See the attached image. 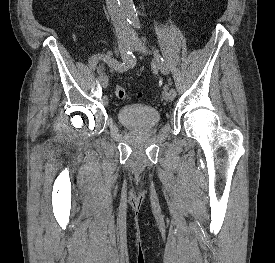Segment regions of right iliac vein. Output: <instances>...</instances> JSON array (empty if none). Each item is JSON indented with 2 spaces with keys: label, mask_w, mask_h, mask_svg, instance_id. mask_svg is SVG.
<instances>
[{
  "label": "right iliac vein",
  "mask_w": 275,
  "mask_h": 263,
  "mask_svg": "<svg viewBox=\"0 0 275 263\" xmlns=\"http://www.w3.org/2000/svg\"><path fill=\"white\" fill-rule=\"evenodd\" d=\"M131 44V40L127 39V38H119L118 40V48L120 51V54L122 57H125L126 52H127V48L128 46ZM99 82L101 83V85L105 88L108 85V77L105 75H101L99 77Z\"/></svg>",
  "instance_id": "right-iliac-vein-1"
}]
</instances>
